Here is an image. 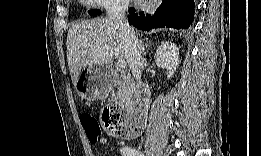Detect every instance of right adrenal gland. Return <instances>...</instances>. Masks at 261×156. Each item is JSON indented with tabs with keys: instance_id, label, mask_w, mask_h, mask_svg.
<instances>
[{
	"instance_id": "right-adrenal-gland-1",
	"label": "right adrenal gland",
	"mask_w": 261,
	"mask_h": 156,
	"mask_svg": "<svg viewBox=\"0 0 261 156\" xmlns=\"http://www.w3.org/2000/svg\"><path fill=\"white\" fill-rule=\"evenodd\" d=\"M149 44V41H147V43L143 44V41L140 40V46H141V52H142V56L144 57L146 55V48Z\"/></svg>"
}]
</instances>
